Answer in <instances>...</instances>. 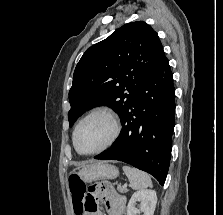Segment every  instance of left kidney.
<instances>
[{"label":"left kidney","instance_id":"5707ae66","mask_svg":"<svg viewBox=\"0 0 223 215\" xmlns=\"http://www.w3.org/2000/svg\"><path fill=\"white\" fill-rule=\"evenodd\" d=\"M136 201H141L140 209L135 207ZM157 203V195L154 189H139L129 199L127 215H137L144 211V215H153Z\"/></svg>","mask_w":223,"mask_h":215}]
</instances>
